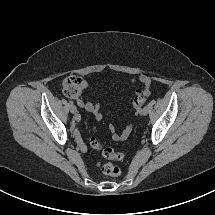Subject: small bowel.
<instances>
[{
    "label": "small bowel",
    "instance_id": "c3829d8e",
    "mask_svg": "<svg viewBox=\"0 0 215 215\" xmlns=\"http://www.w3.org/2000/svg\"><path fill=\"white\" fill-rule=\"evenodd\" d=\"M138 81L144 86H149L151 83L150 77L144 74L139 76ZM132 82H136V79H132ZM86 87H87V83L84 82L83 89H85ZM76 103L81 109L92 114L95 119L97 120L102 119L103 114L99 104L84 102L80 98L76 99ZM75 121L78 123L80 121V117L76 116ZM131 131H132L131 125H127L121 133H117L114 127H110L112 138L115 141L125 140L130 135Z\"/></svg>",
    "mask_w": 215,
    "mask_h": 215
}]
</instances>
